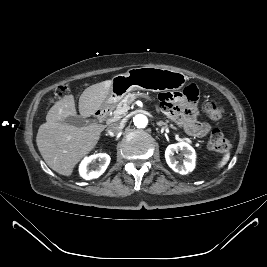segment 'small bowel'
I'll return each instance as SVG.
<instances>
[{"label": "small bowel", "mask_w": 267, "mask_h": 267, "mask_svg": "<svg viewBox=\"0 0 267 267\" xmlns=\"http://www.w3.org/2000/svg\"><path fill=\"white\" fill-rule=\"evenodd\" d=\"M158 98L161 109L176 123L183 125L190 135L204 137L209 133L210 126L198 118V90L195 85H188L182 92L161 93Z\"/></svg>", "instance_id": "small-bowel-1"}]
</instances>
